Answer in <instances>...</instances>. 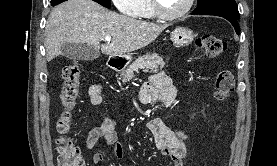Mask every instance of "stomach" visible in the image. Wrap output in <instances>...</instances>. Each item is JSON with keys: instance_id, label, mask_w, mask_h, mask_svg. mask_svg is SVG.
I'll use <instances>...</instances> for the list:
<instances>
[{"instance_id": "obj_1", "label": "stomach", "mask_w": 277, "mask_h": 166, "mask_svg": "<svg viewBox=\"0 0 277 166\" xmlns=\"http://www.w3.org/2000/svg\"><path fill=\"white\" fill-rule=\"evenodd\" d=\"M195 35L194 32L188 27H177L171 32V41L177 47H184L192 43ZM130 55H121L117 60L121 64H128L130 62Z\"/></svg>"}]
</instances>
